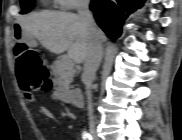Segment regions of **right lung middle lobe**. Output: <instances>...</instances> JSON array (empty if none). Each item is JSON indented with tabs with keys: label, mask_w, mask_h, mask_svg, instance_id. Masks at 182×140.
Segmentation results:
<instances>
[{
	"label": "right lung middle lobe",
	"mask_w": 182,
	"mask_h": 140,
	"mask_svg": "<svg viewBox=\"0 0 182 140\" xmlns=\"http://www.w3.org/2000/svg\"><path fill=\"white\" fill-rule=\"evenodd\" d=\"M34 6V0H22L21 1V7L22 11L21 14L28 13Z\"/></svg>",
	"instance_id": "dd1d6c3e"
}]
</instances>
